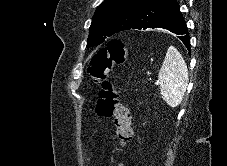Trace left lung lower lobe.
<instances>
[{
    "label": "left lung lower lobe",
    "mask_w": 227,
    "mask_h": 166,
    "mask_svg": "<svg viewBox=\"0 0 227 166\" xmlns=\"http://www.w3.org/2000/svg\"><path fill=\"white\" fill-rule=\"evenodd\" d=\"M163 28L177 35L190 50L188 28L176 0H147L130 29Z\"/></svg>",
    "instance_id": "1"
}]
</instances>
